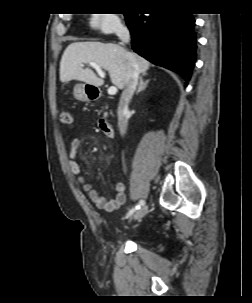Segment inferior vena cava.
Segmentation results:
<instances>
[{
  "label": "inferior vena cava",
  "mask_w": 252,
  "mask_h": 303,
  "mask_svg": "<svg viewBox=\"0 0 252 303\" xmlns=\"http://www.w3.org/2000/svg\"><path fill=\"white\" fill-rule=\"evenodd\" d=\"M116 33L122 42L128 43L130 41L129 30L124 24L118 25ZM127 58H128V63H127L126 84H125V89L122 92L117 109L118 127L121 135H124L127 129L128 105L134 94L139 78V68L137 63L133 60L130 54H127Z\"/></svg>",
  "instance_id": "inferior-vena-cava-1"
}]
</instances>
